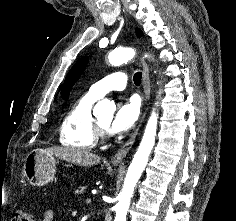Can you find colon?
<instances>
[{
    "label": "colon",
    "mask_w": 236,
    "mask_h": 221,
    "mask_svg": "<svg viewBox=\"0 0 236 221\" xmlns=\"http://www.w3.org/2000/svg\"><path fill=\"white\" fill-rule=\"evenodd\" d=\"M12 221H34V219L29 211L20 209L15 212Z\"/></svg>",
    "instance_id": "5ec220e1"
}]
</instances>
